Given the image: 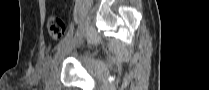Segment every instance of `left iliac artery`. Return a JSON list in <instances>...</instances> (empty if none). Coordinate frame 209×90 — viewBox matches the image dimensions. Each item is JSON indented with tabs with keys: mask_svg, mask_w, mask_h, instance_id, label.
Here are the masks:
<instances>
[{
	"mask_svg": "<svg viewBox=\"0 0 209 90\" xmlns=\"http://www.w3.org/2000/svg\"><path fill=\"white\" fill-rule=\"evenodd\" d=\"M71 33H73V28H68V34L56 45L55 49L59 50V48L61 47V45L69 42L72 38Z\"/></svg>",
	"mask_w": 209,
	"mask_h": 90,
	"instance_id": "44dca946",
	"label": "left iliac artery"
}]
</instances>
